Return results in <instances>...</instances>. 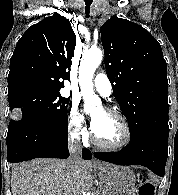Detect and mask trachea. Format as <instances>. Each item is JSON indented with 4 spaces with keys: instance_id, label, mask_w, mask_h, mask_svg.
Returning <instances> with one entry per match:
<instances>
[{
    "instance_id": "1",
    "label": "trachea",
    "mask_w": 178,
    "mask_h": 195,
    "mask_svg": "<svg viewBox=\"0 0 178 195\" xmlns=\"http://www.w3.org/2000/svg\"><path fill=\"white\" fill-rule=\"evenodd\" d=\"M93 0H85V13L86 17H90L89 12H90V6L92 4Z\"/></svg>"
}]
</instances>
